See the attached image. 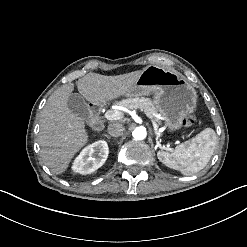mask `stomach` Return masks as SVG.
I'll list each match as a JSON object with an SVG mask.
<instances>
[{
    "label": "stomach",
    "mask_w": 247,
    "mask_h": 247,
    "mask_svg": "<svg viewBox=\"0 0 247 247\" xmlns=\"http://www.w3.org/2000/svg\"><path fill=\"white\" fill-rule=\"evenodd\" d=\"M153 95L157 111L171 130L180 129L196 109L197 92L179 72L149 65L142 71L127 97Z\"/></svg>",
    "instance_id": "0dacf381"
}]
</instances>
